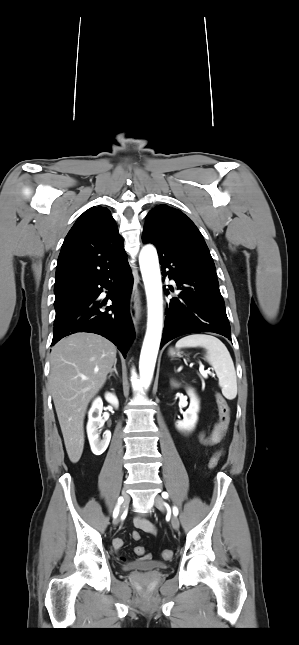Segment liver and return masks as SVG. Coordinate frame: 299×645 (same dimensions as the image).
Masks as SVG:
<instances>
[{
	"label": "liver",
	"instance_id": "6515ba94",
	"mask_svg": "<svg viewBox=\"0 0 299 645\" xmlns=\"http://www.w3.org/2000/svg\"><path fill=\"white\" fill-rule=\"evenodd\" d=\"M115 361L114 344L93 333L72 334L52 348L49 385L72 463H77L83 452L88 404L105 384Z\"/></svg>",
	"mask_w": 299,
	"mask_h": 645
}]
</instances>
